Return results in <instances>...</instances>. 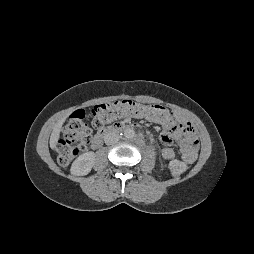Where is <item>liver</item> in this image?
I'll return each mask as SVG.
<instances>
[{"mask_svg": "<svg viewBox=\"0 0 254 254\" xmlns=\"http://www.w3.org/2000/svg\"><path fill=\"white\" fill-rule=\"evenodd\" d=\"M65 120H66V117L61 118L55 124V126L53 128V131H52L51 136H50V142H49L50 143V147L53 150L56 148L57 142H58L59 137H60V131H61L62 125L65 122Z\"/></svg>", "mask_w": 254, "mask_h": 254, "instance_id": "6515ba94", "label": "liver"}]
</instances>
